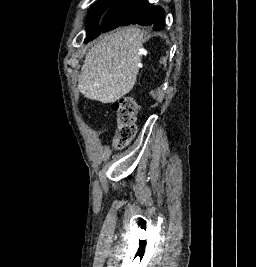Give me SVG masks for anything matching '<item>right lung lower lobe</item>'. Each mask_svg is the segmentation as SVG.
<instances>
[{"mask_svg": "<svg viewBox=\"0 0 256 267\" xmlns=\"http://www.w3.org/2000/svg\"><path fill=\"white\" fill-rule=\"evenodd\" d=\"M129 24L152 26L153 30H163L165 26L164 11L162 8L152 6L146 0H143L112 28Z\"/></svg>", "mask_w": 256, "mask_h": 267, "instance_id": "1", "label": "right lung lower lobe"}]
</instances>
